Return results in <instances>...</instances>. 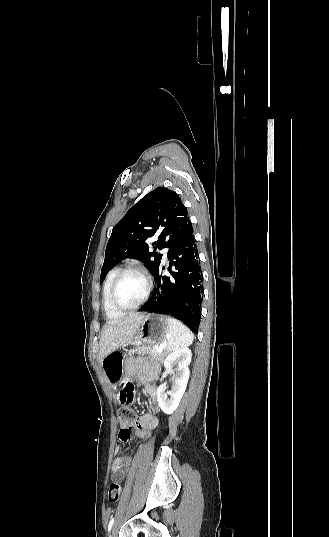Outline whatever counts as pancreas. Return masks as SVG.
<instances>
[{"mask_svg": "<svg viewBox=\"0 0 329 537\" xmlns=\"http://www.w3.org/2000/svg\"><path fill=\"white\" fill-rule=\"evenodd\" d=\"M135 353L139 355L148 354L149 359L155 362H163L164 357L167 355V351L163 350L162 352H157L155 349V346H146L143 345L141 347H136L135 349H131L128 353V355H134Z\"/></svg>", "mask_w": 329, "mask_h": 537, "instance_id": "pancreas-1", "label": "pancreas"}]
</instances>
